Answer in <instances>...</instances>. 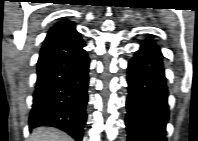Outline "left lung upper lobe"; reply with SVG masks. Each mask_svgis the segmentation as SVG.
I'll return each mask as SVG.
<instances>
[{
	"instance_id": "obj_1",
	"label": "left lung upper lobe",
	"mask_w": 198,
	"mask_h": 141,
	"mask_svg": "<svg viewBox=\"0 0 198 141\" xmlns=\"http://www.w3.org/2000/svg\"><path fill=\"white\" fill-rule=\"evenodd\" d=\"M141 103L143 104V106L145 107V108H148L149 106H148V104H149V102L147 101V100H141Z\"/></svg>"
}]
</instances>
